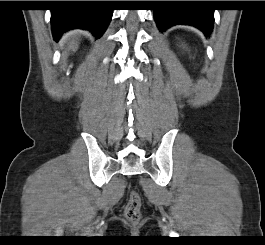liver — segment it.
I'll return each mask as SVG.
<instances>
[{
    "mask_svg": "<svg viewBox=\"0 0 265 245\" xmlns=\"http://www.w3.org/2000/svg\"><path fill=\"white\" fill-rule=\"evenodd\" d=\"M78 36L79 34L77 32H70L63 37L62 42L63 44L67 45L68 50L73 52L77 50L79 46Z\"/></svg>",
    "mask_w": 265,
    "mask_h": 245,
    "instance_id": "1",
    "label": "liver"
}]
</instances>
